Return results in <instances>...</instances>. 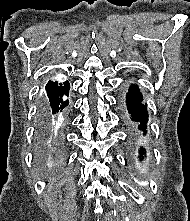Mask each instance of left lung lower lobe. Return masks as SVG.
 Masks as SVG:
<instances>
[{
  "instance_id": "obj_1",
  "label": "left lung lower lobe",
  "mask_w": 190,
  "mask_h": 221,
  "mask_svg": "<svg viewBox=\"0 0 190 221\" xmlns=\"http://www.w3.org/2000/svg\"><path fill=\"white\" fill-rule=\"evenodd\" d=\"M142 100L143 97L139 88L136 85L131 86L126 96L127 109L131 114V120L140 123L138 128L145 132L148 114L146 106L142 104ZM141 153H144L143 149Z\"/></svg>"
}]
</instances>
